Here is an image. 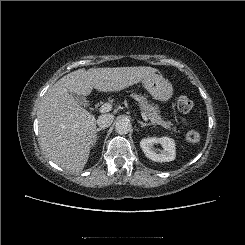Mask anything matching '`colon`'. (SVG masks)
Wrapping results in <instances>:
<instances>
[{"instance_id": "colon-1", "label": "colon", "mask_w": 245, "mask_h": 245, "mask_svg": "<svg viewBox=\"0 0 245 245\" xmlns=\"http://www.w3.org/2000/svg\"><path fill=\"white\" fill-rule=\"evenodd\" d=\"M178 108L181 112L188 113L193 109V103L186 95H181L178 98ZM200 133L191 129L186 134V140L190 143H197L200 140Z\"/></svg>"}]
</instances>
